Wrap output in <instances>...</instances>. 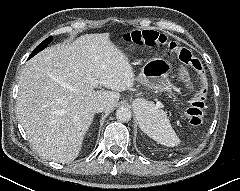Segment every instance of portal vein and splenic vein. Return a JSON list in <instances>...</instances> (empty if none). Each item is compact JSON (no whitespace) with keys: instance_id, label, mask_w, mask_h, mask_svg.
I'll return each instance as SVG.
<instances>
[{"instance_id":"18ae733b","label":"portal vein and splenic vein","mask_w":240,"mask_h":191,"mask_svg":"<svg viewBox=\"0 0 240 191\" xmlns=\"http://www.w3.org/2000/svg\"><path fill=\"white\" fill-rule=\"evenodd\" d=\"M92 86L96 87L97 86L96 82L92 81Z\"/></svg>"}]
</instances>
